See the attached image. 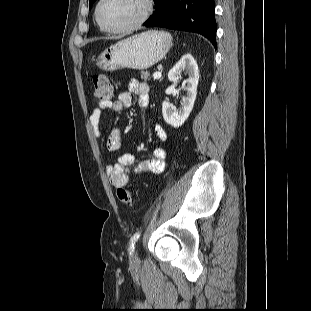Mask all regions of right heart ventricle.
I'll return each instance as SVG.
<instances>
[{
    "instance_id": "1",
    "label": "right heart ventricle",
    "mask_w": 311,
    "mask_h": 311,
    "mask_svg": "<svg viewBox=\"0 0 311 311\" xmlns=\"http://www.w3.org/2000/svg\"><path fill=\"white\" fill-rule=\"evenodd\" d=\"M100 30L102 31V32H104L105 30L104 29H102L101 27H100Z\"/></svg>"
}]
</instances>
